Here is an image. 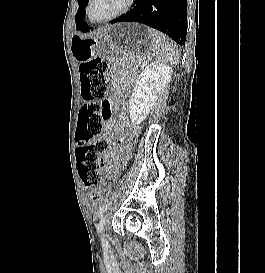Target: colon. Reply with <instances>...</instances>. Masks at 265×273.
I'll return each instance as SVG.
<instances>
[{
    "mask_svg": "<svg viewBox=\"0 0 265 273\" xmlns=\"http://www.w3.org/2000/svg\"><path fill=\"white\" fill-rule=\"evenodd\" d=\"M107 65L100 59H86L80 64L82 106L75 133L77 145V170L84 185L92 189L89 202L94 204L100 197L104 180L98 167V154L108 148L106 139L98 138L106 120L111 117V106L106 96L109 85L105 79Z\"/></svg>",
    "mask_w": 265,
    "mask_h": 273,
    "instance_id": "colon-1",
    "label": "colon"
}]
</instances>
